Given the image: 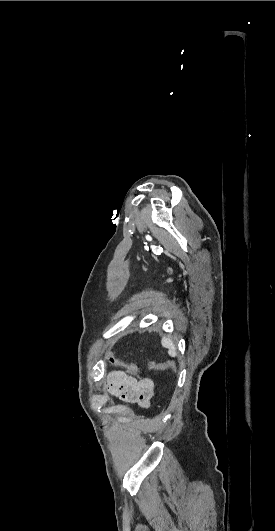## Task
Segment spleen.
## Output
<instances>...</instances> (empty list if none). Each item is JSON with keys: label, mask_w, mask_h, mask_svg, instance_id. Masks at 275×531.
I'll use <instances>...</instances> for the list:
<instances>
[{"label": "spleen", "mask_w": 275, "mask_h": 531, "mask_svg": "<svg viewBox=\"0 0 275 531\" xmlns=\"http://www.w3.org/2000/svg\"><path fill=\"white\" fill-rule=\"evenodd\" d=\"M162 347H165V349H169L168 355L170 357H177V351L175 345H173L171 339H167V337H163L161 341Z\"/></svg>", "instance_id": "spleen-1"}]
</instances>
